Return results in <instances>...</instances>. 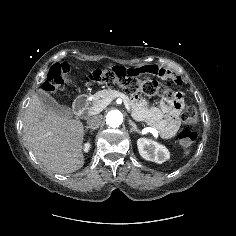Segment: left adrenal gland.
<instances>
[{"label":"left adrenal gland","instance_id":"left-adrenal-gland-1","mask_svg":"<svg viewBox=\"0 0 236 236\" xmlns=\"http://www.w3.org/2000/svg\"><path fill=\"white\" fill-rule=\"evenodd\" d=\"M129 124L132 126L130 132H137L139 134L141 133L140 130L137 128V125L132 120H129Z\"/></svg>","mask_w":236,"mask_h":236}]
</instances>
